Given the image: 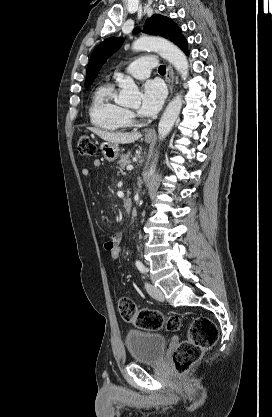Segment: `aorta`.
<instances>
[{"label":"aorta","mask_w":272,"mask_h":417,"mask_svg":"<svg viewBox=\"0 0 272 417\" xmlns=\"http://www.w3.org/2000/svg\"><path fill=\"white\" fill-rule=\"evenodd\" d=\"M134 51H156L163 58L168 60L179 72L183 79L189 74V64L185 54L171 42L152 36H142L132 44ZM121 88L119 103L126 106H136L140 104V92L131 77H125L119 82ZM182 95H176L165 109L158 125L159 139L163 140L172 130L174 123L182 108ZM154 166L150 168L148 176L153 175Z\"/></svg>","instance_id":"762f6f07"}]
</instances>
